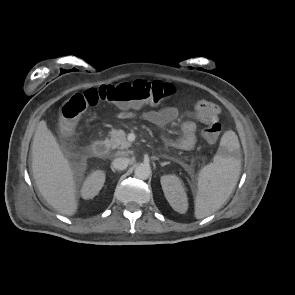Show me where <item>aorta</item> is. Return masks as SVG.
Instances as JSON below:
<instances>
[{
  "mask_svg": "<svg viewBox=\"0 0 295 295\" xmlns=\"http://www.w3.org/2000/svg\"><path fill=\"white\" fill-rule=\"evenodd\" d=\"M134 174L138 179L146 180L151 175V168L149 165L140 164L135 168Z\"/></svg>",
  "mask_w": 295,
  "mask_h": 295,
  "instance_id": "aorta-1",
  "label": "aorta"
}]
</instances>
